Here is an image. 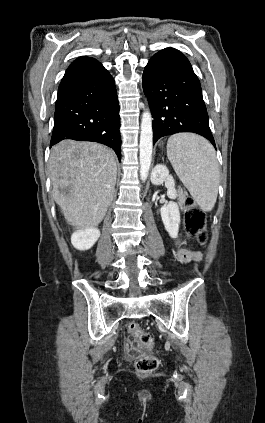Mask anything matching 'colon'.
<instances>
[{
  "instance_id": "obj_1",
  "label": "colon",
  "mask_w": 265,
  "mask_h": 423,
  "mask_svg": "<svg viewBox=\"0 0 265 423\" xmlns=\"http://www.w3.org/2000/svg\"><path fill=\"white\" fill-rule=\"evenodd\" d=\"M185 230L186 233L195 238L200 244L207 241L206 218L205 213L196 205L193 198L188 197L185 201ZM128 331L134 335L138 341L140 349L149 350L152 348L153 339L151 335L142 330L135 322L127 325ZM159 361L154 356L141 357L137 360L136 366L142 373L153 372L157 369Z\"/></svg>"
}]
</instances>
